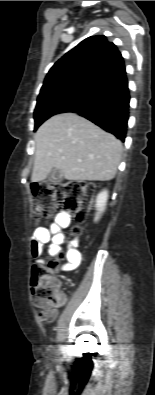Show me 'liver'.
Wrapping results in <instances>:
<instances>
[{
    "mask_svg": "<svg viewBox=\"0 0 155 395\" xmlns=\"http://www.w3.org/2000/svg\"><path fill=\"white\" fill-rule=\"evenodd\" d=\"M34 140L32 182L46 179L53 168L67 180L109 181L116 175L123 151L112 134L74 113L45 121Z\"/></svg>",
    "mask_w": 155,
    "mask_h": 395,
    "instance_id": "6515ba94",
    "label": "liver"
}]
</instances>
